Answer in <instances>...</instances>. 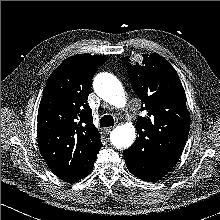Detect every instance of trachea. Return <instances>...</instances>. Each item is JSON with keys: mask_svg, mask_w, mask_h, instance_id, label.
<instances>
[{"mask_svg": "<svg viewBox=\"0 0 220 220\" xmlns=\"http://www.w3.org/2000/svg\"><path fill=\"white\" fill-rule=\"evenodd\" d=\"M101 127L114 126V119L111 115H105L100 120Z\"/></svg>", "mask_w": 220, "mask_h": 220, "instance_id": "obj_1", "label": "trachea"}]
</instances>
